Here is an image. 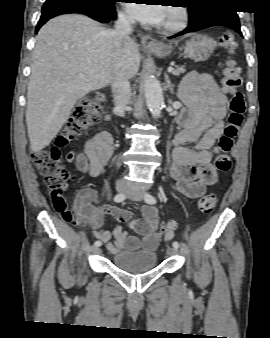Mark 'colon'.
Wrapping results in <instances>:
<instances>
[{"mask_svg": "<svg viewBox=\"0 0 270 338\" xmlns=\"http://www.w3.org/2000/svg\"><path fill=\"white\" fill-rule=\"evenodd\" d=\"M217 46L226 53V62L223 69L221 84L227 92H232L229 102L227 124L224 133L219 140L220 154L214 160V166L219 172H228L232 165L230 152L234 140L243 122L244 101L238 88L242 84L240 67L231 57L236 46L233 34L224 33L217 40ZM102 97L82 100L76 106L70 118L66 121L61 131L57 134L54 144L47 149L37 150L31 153V160L36 169L44 176L46 187L51 191V200L54 210L66 221L72 220L71 212L62 204L64 191L73 182L74 176L60 164L61 148L81 138L86 130L98 120L101 111ZM216 204V196L207 194L199 199L198 206L202 213L209 214ZM176 223L170 222L162 227L165 239L173 238Z\"/></svg>", "mask_w": 270, "mask_h": 338, "instance_id": "colon-1", "label": "colon"}]
</instances>
